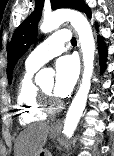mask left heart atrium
I'll return each instance as SVG.
<instances>
[{
  "mask_svg": "<svg viewBox=\"0 0 114 156\" xmlns=\"http://www.w3.org/2000/svg\"><path fill=\"white\" fill-rule=\"evenodd\" d=\"M79 75V64L76 57L67 55L56 63V76L53 87L55 96L67 97L73 90Z\"/></svg>",
  "mask_w": 114,
  "mask_h": 156,
  "instance_id": "1",
  "label": "left heart atrium"
}]
</instances>
